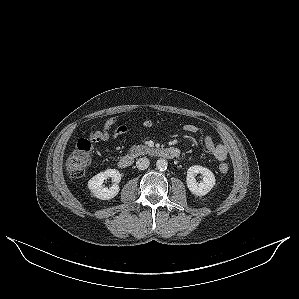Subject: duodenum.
Wrapping results in <instances>:
<instances>
[{
    "mask_svg": "<svg viewBox=\"0 0 299 299\" xmlns=\"http://www.w3.org/2000/svg\"><path fill=\"white\" fill-rule=\"evenodd\" d=\"M158 154L161 157L167 158V159H174L179 157L180 151L173 147H166L158 150ZM134 162V157L132 155H124L120 157L118 160V166L122 169H126L132 166Z\"/></svg>",
    "mask_w": 299,
    "mask_h": 299,
    "instance_id": "obj_1",
    "label": "duodenum"
}]
</instances>
